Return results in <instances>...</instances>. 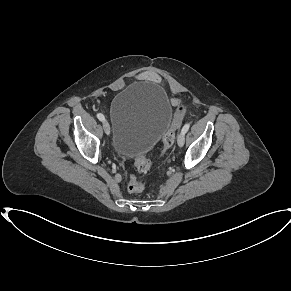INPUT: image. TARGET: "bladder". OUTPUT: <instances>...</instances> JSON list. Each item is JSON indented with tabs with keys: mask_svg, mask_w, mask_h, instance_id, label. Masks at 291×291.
I'll use <instances>...</instances> for the list:
<instances>
[{
	"mask_svg": "<svg viewBox=\"0 0 291 291\" xmlns=\"http://www.w3.org/2000/svg\"><path fill=\"white\" fill-rule=\"evenodd\" d=\"M172 113L159 86L136 82L119 92L110 107L114 152L121 157L146 154L169 127Z\"/></svg>",
	"mask_w": 291,
	"mask_h": 291,
	"instance_id": "31cf9c89",
	"label": "bladder"
}]
</instances>
